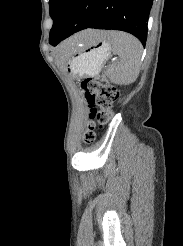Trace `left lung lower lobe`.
Returning a JSON list of instances; mask_svg holds the SVG:
<instances>
[{
	"label": "left lung lower lobe",
	"mask_w": 183,
	"mask_h": 246,
	"mask_svg": "<svg viewBox=\"0 0 183 246\" xmlns=\"http://www.w3.org/2000/svg\"><path fill=\"white\" fill-rule=\"evenodd\" d=\"M153 0H79L59 33L50 38L56 46L72 34L86 29L121 30L136 36L143 46Z\"/></svg>",
	"instance_id": "1"
}]
</instances>
